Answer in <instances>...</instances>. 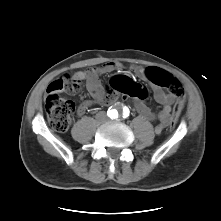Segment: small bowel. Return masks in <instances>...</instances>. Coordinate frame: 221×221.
I'll list each match as a JSON object with an SVG mask.
<instances>
[{
	"label": "small bowel",
	"mask_w": 221,
	"mask_h": 221,
	"mask_svg": "<svg viewBox=\"0 0 221 221\" xmlns=\"http://www.w3.org/2000/svg\"><path fill=\"white\" fill-rule=\"evenodd\" d=\"M121 67L122 65L118 62H108L101 67H96L87 71H78L73 74V81L77 84L85 82L87 90L92 97V100H85L79 105L77 110L79 115H83L94 103L112 102L118 93H122L124 96L130 97L124 92L125 87L134 82L130 76L121 74L114 76L111 79L109 90H106L100 81L101 75L117 71L121 69ZM147 70L148 69L142 67L134 69L135 73L139 77L152 84L156 101L163 105L162 110L157 115L159 124L155 127V132L159 134L165 127L175 124L185 106V97L182 95L177 97L171 93H166L161 86H158L151 81L147 74ZM134 102L137 111L144 118L153 120L156 117L144 99L134 97ZM173 105L179 109L177 116L173 115Z\"/></svg>",
	"instance_id": "1"
}]
</instances>
